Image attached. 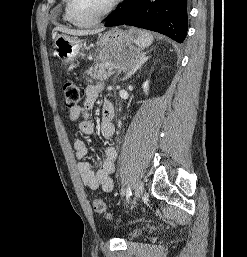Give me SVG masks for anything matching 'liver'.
<instances>
[{
  "mask_svg": "<svg viewBox=\"0 0 247 257\" xmlns=\"http://www.w3.org/2000/svg\"><path fill=\"white\" fill-rule=\"evenodd\" d=\"M55 31H60L62 33H66L69 35H74V36H85V35H93L96 34L103 29H95V30H75V29H68L66 27H56L54 29ZM54 35V34H53Z\"/></svg>",
  "mask_w": 247,
  "mask_h": 257,
  "instance_id": "1",
  "label": "liver"
}]
</instances>
